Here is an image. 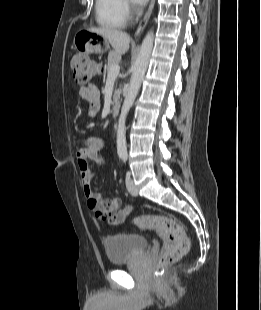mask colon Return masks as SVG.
Returning <instances> with one entry per match:
<instances>
[{"label": "colon", "mask_w": 261, "mask_h": 310, "mask_svg": "<svg viewBox=\"0 0 261 310\" xmlns=\"http://www.w3.org/2000/svg\"><path fill=\"white\" fill-rule=\"evenodd\" d=\"M73 79L79 85H85L99 72V65L83 53L74 54L71 58ZM134 223L141 229L155 230L165 241L164 248L158 257V266L165 267L177 260L189 250V239L183 226L177 220L165 215H140Z\"/></svg>", "instance_id": "obj_1"}]
</instances>
